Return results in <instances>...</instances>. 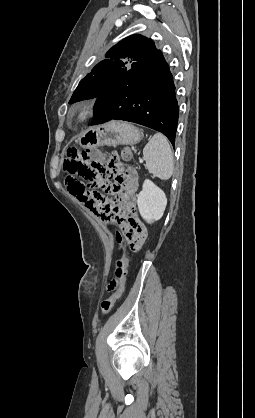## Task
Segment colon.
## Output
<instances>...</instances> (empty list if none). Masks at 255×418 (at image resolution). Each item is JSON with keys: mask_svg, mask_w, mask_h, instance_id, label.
I'll use <instances>...</instances> for the list:
<instances>
[{"mask_svg": "<svg viewBox=\"0 0 255 418\" xmlns=\"http://www.w3.org/2000/svg\"><path fill=\"white\" fill-rule=\"evenodd\" d=\"M122 156L125 160H128L131 154L129 151H124ZM63 169L68 174L66 187L69 192L82 201L99 221L105 220L111 223L115 227L116 233L119 228H145L135 209H131L122 218L119 215L116 200L106 199L99 192L91 189L92 187H98L103 193L112 191L111 179L118 171L117 165L116 163H109L108 158L103 153L88 152L75 147L69 148L66 152ZM116 238L115 243L121 247L122 254L116 262L114 271V274L118 276L117 288L101 304L102 313L105 315L112 310L123 293L127 264L129 263L130 251H126L125 237L117 234Z\"/></svg>", "mask_w": 255, "mask_h": 418, "instance_id": "5ec220e1", "label": "colon"}]
</instances>
